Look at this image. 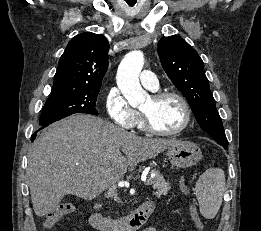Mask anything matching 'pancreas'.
I'll use <instances>...</instances> for the list:
<instances>
[{
  "label": "pancreas",
  "mask_w": 261,
  "mask_h": 231,
  "mask_svg": "<svg viewBox=\"0 0 261 231\" xmlns=\"http://www.w3.org/2000/svg\"><path fill=\"white\" fill-rule=\"evenodd\" d=\"M150 174H154V177L151 178L153 189H155L158 194L167 195L171 186L165 181L162 174L155 168L150 170Z\"/></svg>",
  "instance_id": "obj_1"
}]
</instances>
